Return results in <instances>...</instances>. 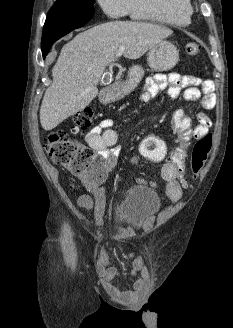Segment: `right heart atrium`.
Instances as JSON below:
<instances>
[{
  "label": "right heart atrium",
  "mask_w": 233,
  "mask_h": 328,
  "mask_svg": "<svg viewBox=\"0 0 233 328\" xmlns=\"http://www.w3.org/2000/svg\"><path fill=\"white\" fill-rule=\"evenodd\" d=\"M101 9L111 18L124 16L128 11V0H97Z\"/></svg>",
  "instance_id": "right-heart-atrium-1"
}]
</instances>
